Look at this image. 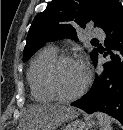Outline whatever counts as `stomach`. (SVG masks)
Returning <instances> with one entry per match:
<instances>
[{"label":"stomach","mask_w":123,"mask_h":130,"mask_svg":"<svg viewBox=\"0 0 123 130\" xmlns=\"http://www.w3.org/2000/svg\"><path fill=\"white\" fill-rule=\"evenodd\" d=\"M94 124V121L84 122L82 120H74L65 126L63 130H89Z\"/></svg>","instance_id":"0dacf381"}]
</instances>
